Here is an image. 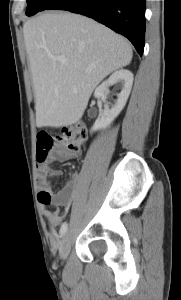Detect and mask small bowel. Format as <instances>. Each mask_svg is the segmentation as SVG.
<instances>
[{
	"label": "small bowel",
	"instance_id": "c3829d8e",
	"mask_svg": "<svg viewBox=\"0 0 181 300\" xmlns=\"http://www.w3.org/2000/svg\"><path fill=\"white\" fill-rule=\"evenodd\" d=\"M73 154L69 157H74ZM58 160L55 152H51L48 158L39 164L37 184L39 188L38 202L43 207V214L52 226H58L62 222V211L66 212L75 198L78 182L74 178L59 191H54L51 186L50 177L61 175V171L55 169L51 164ZM53 206L54 209H50Z\"/></svg>",
	"mask_w": 181,
	"mask_h": 300
}]
</instances>
